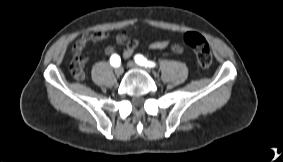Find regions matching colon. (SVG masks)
Instances as JSON below:
<instances>
[{"mask_svg":"<svg viewBox=\"0 0 283 162\" xmlns=\"http://www.w3.org/2000/svg\"><path fill=\"white\" fill-rule=\"evenodd\" d=\"M184 41L194 50L199 66L203 70L208 69L212 63V54L206 39L199 33L188 32L184 35ZM71 74L77 80L85 77L84 71L80 68L72 69Z\"/></svg>","mask_w":283,"mask_h":162,"instance_id":"colon-1","label":"colon"}]
</instances>
